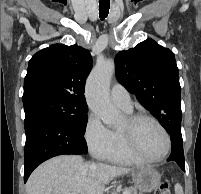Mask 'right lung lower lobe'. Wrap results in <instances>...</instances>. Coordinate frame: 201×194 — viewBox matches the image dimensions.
Wrapping results in <instances>:
<instances>
[{"mask_svg": "<svg viewBox=\"0 0 201 194\" xmlns=\"http://www.w3.org/2000/svg\"><path fill=\"white\" fill-rule=\"evenodd\" d=\"M24 181L43 161L63 154L87 153V145L72 126L39 110L25 113Z\"/></svg>", "mask_w": 201, "mask_h": 194, "instance_id": "98d812e1", "label": "right lung lower lobe"}]
</instances>
